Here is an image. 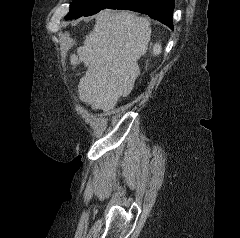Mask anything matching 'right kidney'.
<instances>
[{
	"label": "right kidney",
	"instance_id": "1",
	"mask_svg": "<svg viewBox=\"0 0 240 238\" xmlns=\"http://www.w3.org/2000/svg\"><path fill=\"white\" fill-rule=\"evenodd\" d=\"M161 52V45L160 44H155L153 47V54L158 55Z\"/></svg>",
	"mask_w": 240,
	"mask_h": 238
}]
</instances>
